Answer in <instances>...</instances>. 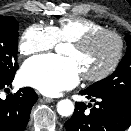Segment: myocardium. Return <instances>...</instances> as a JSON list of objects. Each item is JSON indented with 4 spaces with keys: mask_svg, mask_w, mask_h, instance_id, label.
<instances>
[{
    "mask_svg": "<svg viewBox=\"0 0 131 131\" xmlns=\"http://www.w3.org/2000/svg\"><path fill=\"white\" fill-rule=\"evenodd\" d=\"M104 35L113 37L116 40L117 48H116L114 58L111 61V63L103 71H101L97 74H84V73H82V77L87 81H91V82L101 81V80L107 78L109 75H111L115 71V69L119 65V63L122 59V56H123L124 41H123L122 37L120 36V34H118L117 32L103 28V29L88 32V33L84 34L83 36L69 42L70 45H73L76 47H84L89 42H91L93 39L100 37V36H104Z\"/></svg>",
    "mask_w": 131,
    "mask_h": 131,
    "instance_id": "1",
    "label": "myocardium"
}]
</instances>
